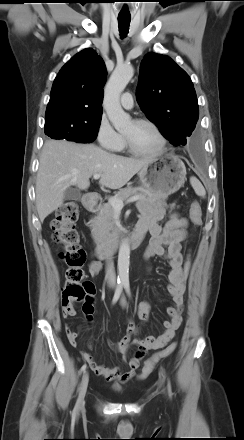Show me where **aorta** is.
Returning a JSON list of instances; mask_svg holds the SVG:
<instances>
[{"instance_id":"aorta-1","label":"aorta","mask_w":244,"mask_h":440,"mask_svg":"<svg viewBox=\"0 0 244 440\" xmlns=\"http://www.w3.org/2000/svg\"><path fill=\"white\" fill-rule=\"evenodd\" d=\"M134 69L131 65L117 66L107 85L104 93L103 105L109 120L117 131H121L130 123V116L124 112L120 104V95L131 80ZM130 246L123 241L118 253V279L121 282L129 280Z\"/></svg>"}]
</instances>
